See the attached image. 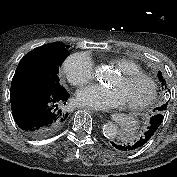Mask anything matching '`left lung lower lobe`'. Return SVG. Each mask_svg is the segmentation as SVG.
Segmentation results:
<instances>
[{
	"mask_svg": "<svg viewBox=\"0 0 177 177\" xmlns=\"http://www.w3.org/2000/svg\"><path fill=\"white\" fill-rule=\"evenodd\" d=\"M154 112L155 114L150 118V124L147 127L146 132L139 139L130 142L114 141L111 142L113 147L122 152H130L133 150H137L141 148L144 144H146L150 140V138L155 134L156 130L158 129L163 120V113L162 110H160V107H157Z\"/></svg>",
	"mask_w": 177,
	"mask_h": 177,
	"instance_id": "1",
	"label": "left lung lower lobe"
}]
</instances>
